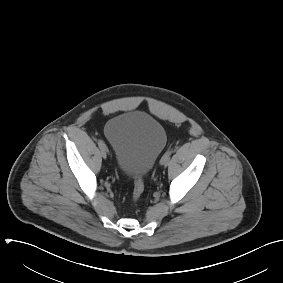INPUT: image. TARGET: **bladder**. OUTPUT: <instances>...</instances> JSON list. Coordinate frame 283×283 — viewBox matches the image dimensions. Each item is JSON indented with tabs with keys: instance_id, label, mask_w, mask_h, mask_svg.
<instances>
[{
	"instance_id": "31cf9c89",
	"label": "bladder",
	"mask_w": 283,
	"mask_h": 283,
	"mask_svg": "<svg viewBox=\"0 0 283 283\" xmlns=\"http://www.w3.org/2000/svg\"><path fill=\"white\" fill-rule=\"evenodd\" d=\"M119 169L131 176H144L167 143L164 127L150 115L134 111L120 114L105 126Z\"/></svg>"
}]
</instances>
